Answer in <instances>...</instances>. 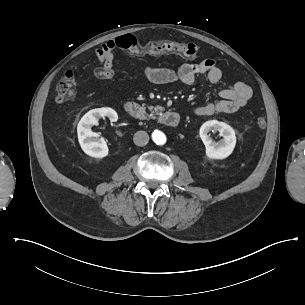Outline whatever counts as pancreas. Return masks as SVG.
Listing matches in <instances>:
<instances>
[{
	"instance_id": "1",
	"label": "pancreas",
	"mask_w": 305,
	"mask_h": 305,
	"mask_svg": "<svg viewBox=\"0 0 305 305\" xmlns=\"http://www.w3.org/2000/svg\"><path fill=\"white\" fill-rule=\"evenodd\" d=\"M149 119L151 118V119H155V115H151V116H149L148 117Z\"/></svg>"
}]
</instances>
